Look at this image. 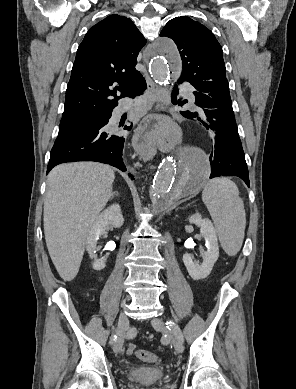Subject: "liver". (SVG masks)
<instances>
[{
  "instance_id": "6515ba94",
  "label": "liver",
  "mask_w": 296,
  "mask_h": 389,
  "mask_svg": "<svg viewBox=\"0 0 296 389\" xmlns=\"http://www.w3.org/2000/svg\"><path fill=\"white\" fill-rule=\"evenodd\" d=\"M114 171L96 162L54 167L44 201V234L51 260L64 281L78 274L92 224L112 195Z\"/></svg>"
}]
</instances>
